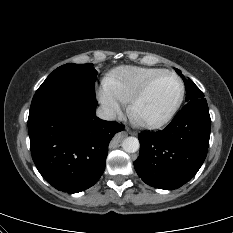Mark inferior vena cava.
Listing matches in <instances>:
<instances>
[{"mask_svg":"<svg viewBox=\"0 0 233 233\" xmlns=\"http://www.w3.org/2000/svg\"><path fill=\"white\" fill-rule=\"evenodd\" d=\"M96 114L99 118L103 120H115L117 117L116 112L106 105L100 106L97 109Z\"/></svg>","mask_w":233,"mask_h":233,"instance_id":"inferior-vena-cava-1","label":"inferior vena cava"}]
</instances>
